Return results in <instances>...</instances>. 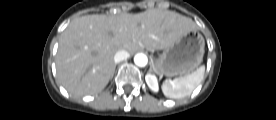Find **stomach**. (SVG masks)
Masks as SVG:
<instances>
[{
	"label": "stomach",
	"mask_w": 276,
	"mask_h": 120,
	"mask_svg": "<svg viewBox=\"0 0 276 120\" xmlns=\"http://www.w3.org/2000/svg\"><path fill=\"white\" fill-rule=\"evenodd\" d=\"M204 47L203 36L196 30L189 31L164 49L153 63V69L159 76L187 75L201 64Z\"/></svg>",
	"instance_id": "0dacf381"
}]
</instances>
